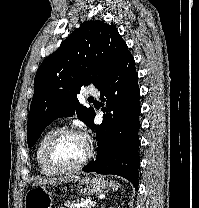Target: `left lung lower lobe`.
<instances>
[{
	"instance_id": "obj_1",
	"label": "left lung lower lobe",
	"mask_w": 199,
	"mask_h": 208,
	"mask_svg": "<svg viewBox=\"0 0 199 208\" xmlns=\"http://www.w3.org/2000/svg\"><path fill=\"white\" fill-rule=\"evenodd\" d=\"M102 103L103 122L89 127L96 130L97 157L83 167L85 172L116 174L138 188L139 103L140 89L134 58L129 56L98 88Z\"/></svg>"
}]
</instances>
